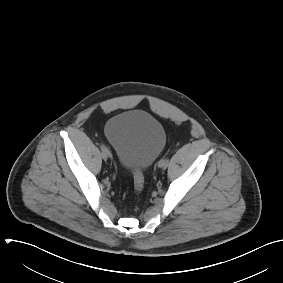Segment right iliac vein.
Masks as SVG:
<instances>
[{
  "label": "right iliac vein",
  "instance_id": "right-iliac-vein-1",
  "mask_svg": "<svg viewBox=\"0 0 283 283\" xmlns=\"http://www.w3.org/2000/svg\"><path fill=\"white\" fill-rule=\"evenodd\" d=\"M108 157H110V154L109 153H106V152H102V158H103V160H107L108 159Z\"/></svg>",
  "mask_w": 283,
  "mask_h": 283
}]
</instances>
